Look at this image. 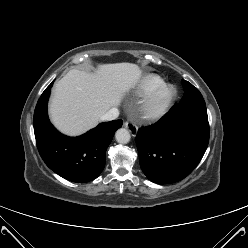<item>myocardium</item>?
<instances>
[{
  "mask_svg": "<svg viewBox=\"0 0 248 248\" xmlns=\"http://www.w3.org/2000/svg\"><path fill=\"white\" fill-rule=\"evenodd\" d=\"M176 97V89L169 84H161L152 90L143 102V111L148 119L163 117L171 108Z\"/></svg>",
  "mask_w": 248,
  "mask_h": 248,
  "instance_id": "1",
  "label": "myocardium"
}]
</instances>
